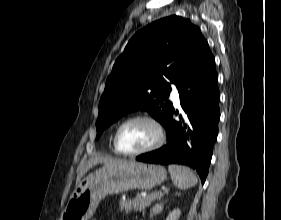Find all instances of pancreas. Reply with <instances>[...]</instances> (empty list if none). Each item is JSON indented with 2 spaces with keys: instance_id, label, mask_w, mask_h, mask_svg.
Instances as JSON below:
<instances>
[{
  "instance_id": "cf45deb5",
  "label": "pancreas",
  "mask_w": 281,
  "mask_h": 220,
  "mask_svg": "<svg viewBox=\"0 0 281 220\" xmlns=\"http://www.w3.org/2000/svg\"><path fill=\"white\" fill-rule=\"evenodd\" d=\"M163 197L162 192H153L148 194L147 196L141 197L137 195L135 199H120V211H124L125 213H130L131 211H141L145 207L151 205L157 199H161Z\"/></svg>"
}]
</instances>
